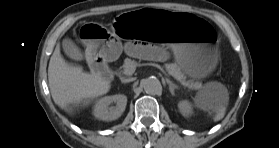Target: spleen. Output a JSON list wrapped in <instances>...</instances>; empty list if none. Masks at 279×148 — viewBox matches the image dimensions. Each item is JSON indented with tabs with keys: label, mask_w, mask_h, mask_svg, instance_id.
Instances as JSON below:
<instances>
[{
	"label": "spleen",
	"mask_w": 279,
	"mask_h": 148,
	"mask_svg": "<svg viewBox=\"0 0 279 148\" xmlns=\"http://www.w3.org/2000/svg\"><path fill=\"white\" fill-rule=\"evenodd\" d=\"M220 87V85H218L217 83H209L205 86L204 90L202 92H200L198 94V98L199 99H202L204 98L205 96L207 95H210L214 89ZM225 112H226V106L225 104H219L215 109H214V116H213V120L216 122V121H219L221 120L224 115H225Z\"/></svg>",
	"instance_id": "1"
}]
</instances>
